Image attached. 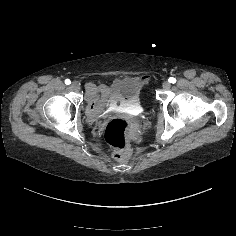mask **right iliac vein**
Masks as SVG:
<instances>
[{
	"label": "right iliac vein",
	"mask_w": 236,
	"mask_h": 236,
	"mask_svg": "<svg viewBox=\"0 0 236 236\" xmlns=\"http://www.w3.org/2000/svg\"><path fill=\"white\" fill-rule=\"evenodd\" d=\"M71 88L75 91H79L80 90V85L78 83H72Z\"/></svg>",
	"instance_id": "obj_1"
}]
</instances>
